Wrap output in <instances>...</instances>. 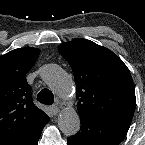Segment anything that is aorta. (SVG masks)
<instances>
[{
  "label": "aorta",
  "mask_w": 145,
  "mask_h": 145,
  "mask_svg": "<svg viewBox=\"0 0 145 145\" xmlns=\"http://www.w3.org/2000/svg\"><path fill=\"white\" fill-rule=\"evenodd\" d=\"M41 78L61 97H68L74 84L71 77L56 64H47L41 72ZM59 129L66 136L75 135L80 129V117L74 109L63 110L58 117Z\"/></svg>",
  "instance_id": "aorta-1"
}]
</instances>
